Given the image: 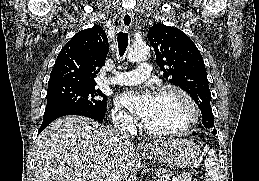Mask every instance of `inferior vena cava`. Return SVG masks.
Listing matches in <instances>:
<instances>
[{"label": "inferior vena cava", "mask_w": 259, "mask_h": 181, "mask_svg": "<svg viewBox=\"0 0 259 181\" xmlns=\"http://www.w3.org/2000/svg\"><path fill=\"white\" fill-rule=\"evenodd\" d=\"M126 122H127L126 117L116 119L114 127L119 139H121L125 143H128L130 142V135L126 128ZM122 180H123L122 174L116 169L112 170L106 179V181H122Z\"/></svg>", "instance_id": "1"}]
</instances>
